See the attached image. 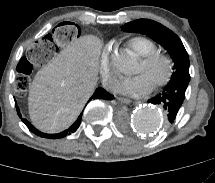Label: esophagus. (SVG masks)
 I'll return each instance as SVG.
<instances>
[{
	"label": "esophagus",
	"mask_w": 215,
	"mask_h": 183,
	"mask_svg": "<svg viewBox=\"0 0 215 183\" xmlns=\"http://www.w3.org/2000/svg\"><path fill=\"white\" fill-rule=\"evenodd\" d=\"M118 101L124 104H130L132 102L129 98H125V97H118Z\"/></svg>",
	"instance_id": "obj_1"
}]
</instances>
